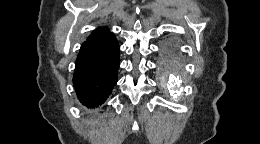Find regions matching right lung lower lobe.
Segmentation results:
<instances>
[{"instance_id":"98d812e1","label":"right lung lower lobe","mask_w":260,"mask_h":144,"mask_svg":"<svg viewBox=\"0 0 260 144\" xmlns=\"http://www.w3.org/2000/svg\"><path fill=\"white\" fill-rule=\"evenodd\" d=\"M119 44L113 33L86 40L76 59L73 84L80 102L99 107L117 83Z\"/></svg>"}]
</instances>
